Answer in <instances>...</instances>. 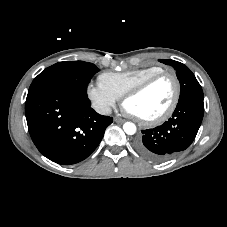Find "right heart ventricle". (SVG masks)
<instances>
[{
	"mask_svg": "<svg viewBox=\"0 0 227 227\" xmlns=\"http://www.w3.org/2000/svg\"><path fill=\"white\" fill-rule=\"evenodd\" d=\"M161 71L162 67L148 66L126 72H105L99 76V82L120 98L132 87Z\"/></svg>",
	"mask_w": 227,
	"mask_h": 227,
	"instance_id": "e07e8e85",
	"label": "right heart ventricle"
}]
</instances>
